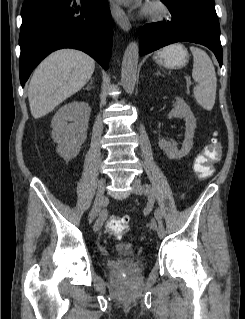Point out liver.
Masks as SVG:
<instances>
[{
  "label": "liver",
  "mask_w": 245,
  "mask_h": 319,
  "mask_svg": "<svg viewBox=\"0 0 245 319\" xmlns=\"http://www.w3.org/2000/svg\"><path fill=\"white\" fill-rule=\"evenodd\" d=\"M95 61L87 54L63 49L54 52L35 69L28 87L31 114L35 119L51 112L77 93L91 78Z\"/></svg>",
  "instance_id": "obj_1"
}]
</instances>
